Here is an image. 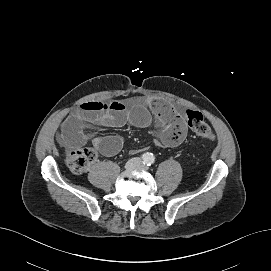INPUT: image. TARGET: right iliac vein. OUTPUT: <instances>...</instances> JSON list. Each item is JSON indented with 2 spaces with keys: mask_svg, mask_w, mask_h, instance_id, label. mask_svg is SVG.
<instances>
[{
  "mask_svg": "<svg viewBox=\"0 0 271 271\" xmlns=\"http://www.w3.org/2000/svg\"><path fill=\"white\" fill-rule=\"evenodd\" d=\"M134 167V164L132 163V162H128L127 164H126V168L127 169H132Z\"/></svg>",
  "mask_w": 271,
  "mask_h": 271,
  "instance_id": "obj_1",
  "label": "right iliac vein"
}]
</instances>
